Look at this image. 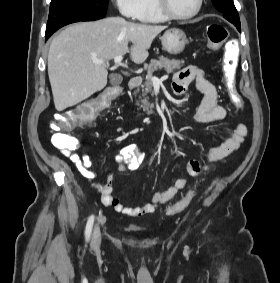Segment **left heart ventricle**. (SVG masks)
<instances>
[{"instance_id": "1", "label": "left heart ventricle", "mask_w": 280, "mask_h": 283, "mask_svg": "<svg viewBox=\"0 0 280 283\" xmlns=\"http://www.w3.org/2000/svg\"><path fill=\"white\" fill-rule=\"evenodd\" d=\"M170 9L179 15L191 13L197 5V0H167Z\"/></svg>"}]
</instances>
